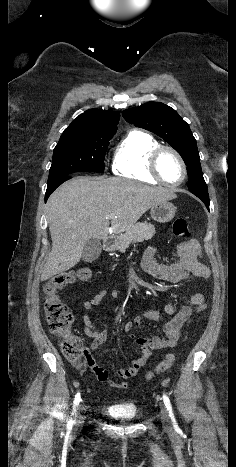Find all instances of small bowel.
Wrapping results in <instances>:
<instances>
[{"instance_id": "1", "label": "small bowel", "mask_w": 236, "mask_h": 467, "mask_svg": "<svg viewBox=\"0 0 236 467\" xmlns=\"http://www.w3.org/2000/svg\"><path fill=\"white\" fill-rule=\"evenodd\" d=\"M156 247H149L143 256L142 266L144 271L151 277L170 283L183 281L190 276H195L208 280L210 276L209 269L201 262V250L197 242L191 241L182 243L178 248L179 260L173 264H160L156 260ZM108 294L104 289L94 295L90 300L83 303L82 325L84 333L92 338L91 348L96 349L106 341L110 335L107 330H99L92 322L89 312L98 306ZM207 306L205 294L197 291L189 298V304L183 306L179 311L173 303H167L164 307L166 314L171 318L164 324L163 331L165 337L157 335L151 337H139L132 334L133 327L142 328L145 320L156 321L160 314L153 308H147L133 322L128 321L123 324V330L138 347V356L132 361L131 365L118 370V374L123 379H130L136 376L144 366L153 350L172 348L177 343L183 327L189 323L192 313L203 311ZM90 369L99 381L108 382L111 386L126 389V381H115L109 378L108 371L96 364L92 358L89 363Z\"/></svg>"}]
</instances>
